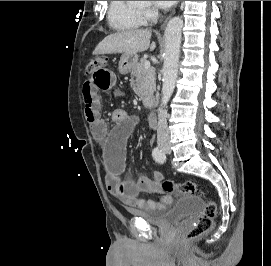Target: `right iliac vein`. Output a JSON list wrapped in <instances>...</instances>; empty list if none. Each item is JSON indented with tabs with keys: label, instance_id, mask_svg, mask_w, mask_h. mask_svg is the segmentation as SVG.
Wrapping results in <instances>:
<instances>
[{
	"label": "right iliac vein",
	"instance_id": "obj_1",
	"mask_svg": "<svg viewBox=\"0 0 271 266\" xmlns=\"http://www.w3.org/2000/svg\"><path fill=\"white\" fill-rule=\"evenodd\" d=\"M160 147L164 150V149H166L168 147V144H161Z\"/></svg>",
	"mask_w": 271,
	"mask_h": 266
}]
</instances>
